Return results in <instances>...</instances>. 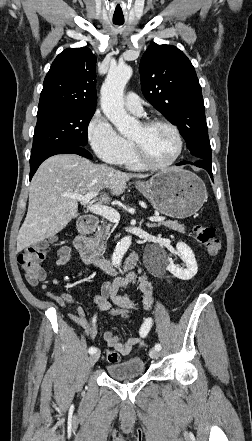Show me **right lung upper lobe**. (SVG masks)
<instances>
[{
    "mask_svg": "<svg viewBox=\"0 0 252 441\" xmlns=\"http://www.w3.org/2000/svg\"><path fill=\"white\" fill-rule=\"evenodd\" d=\"M96 56L87 47L62 51L47 73L38 108H96Z\"/></svg>",
    "mask_w": 252,
    "mask_h": 441,
    "instance_id": "obj_1",
    "label": "right lung upper lobe"
}]
</instances>
